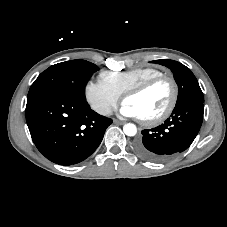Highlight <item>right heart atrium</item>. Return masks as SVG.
<instances>
[{"instance_id": "d8ad5b80", "label": "right heart atrium", "mask_w": 227, "mask_h": 227, "mask_svg": "<svg viewBox=\"0 0 227 227\" xmlns=\"http://www.w3.org/2000/svg\"><path fill=\"white\" fill-rule=\"evenodd\" d=\"M85 97L91 108L100 115L108 116L117 107L120 96L100 81H89Z\"/></svg>"}]
</instances>
